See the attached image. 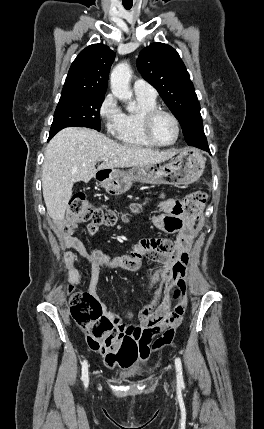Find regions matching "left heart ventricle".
<instances>
[{
    "label": "left heart ventricle",
    "mask_w": 264,
    "mask_h": 429,
    "mask_svg": "<svg viewBox=\"0 0 264 429\" xmlns=\"http://www.w3.org/2000/svg\"><path fill=\"white\" fill-rule=\"evenodd\" d=\"M153 133L158 141L169 143L176 135L175 124L168 116L159 115L154 121Z\"/></svg>",
    "instance_id": "obj_1"
}]
</instances>
